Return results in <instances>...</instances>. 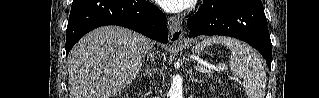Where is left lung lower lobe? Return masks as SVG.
Returning a JSON list of instances; mask_svg holds the SVG:
<instances>
[{"label": "left lung lower lobe", "mask_w": 319, "mask_h": 98, "mask_svg": "<svg viewBox=\"0 0 319 98\" xmlns=\"http://www.w3.org/2000/svg\"><path fill=\"white\" fill-rule=\"evenodd\" d=\"M187 25L189 37L224 35L247 42L264 56L271 69L272 44L261 0H203Z\"/></svg>", "instance_id": "left-lung-lower-lobe-1"}]
</instances>
